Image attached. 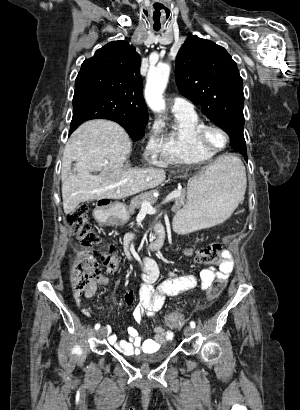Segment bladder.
<instances>
[{
  "instance_id": "bladder-1",
  "label": "bladder",
  "mask_w": 300,
  "mask_h": 410,
  "mask_svg": "<svg viewBox=\"0 0 300 410\" xmlns=\"http://www.w3.org/2000/svg\"><path fill=\"white\" fill-rule=\"evenodd\" d=\"M173 349L174 345L171 343L151 355L133 356V359L140 364H156L166 359L171 354Z\"/></svg>"
}]
</instances>
